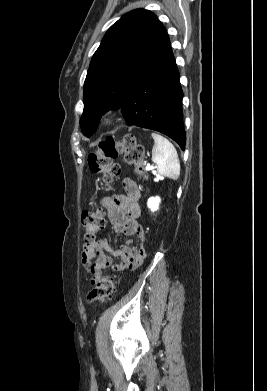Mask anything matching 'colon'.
Instances as JSON below:
<instances>
[{
  "instance_id": "1",
  "label": "colon",
  "mask_w": 267,
  "mask_h": 391,
  "mask_svg": "<svg viewBox=\"0 0 267 391\" xmlns=\"http://www.w3.org/2000/svg\"><path fill=\"white\" fill-rule=\"evenodd\" d=\"M123 154L127 163L135 168L139 176L144 175V149L131 135H125L120 141L111 137L104 139L96 152L88 156V166L91 172L102 175L103 183L111 188L114 180L120 173V166L114 160ZM105 211L102 207L93 204L82 214L85 245L89 246L96 241L97 236L105 227ZM116 280L112 276L102 277L89 292L87 299L90 303L104 302L114 291Z\"/></svg>"
}]
</instances>
